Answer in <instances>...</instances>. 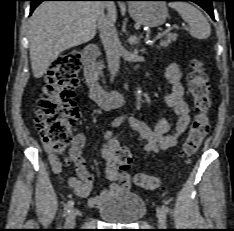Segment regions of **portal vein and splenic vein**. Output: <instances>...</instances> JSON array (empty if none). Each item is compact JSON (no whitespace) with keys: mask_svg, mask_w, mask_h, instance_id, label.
Segmentation results:
<instances>
[{"mask_svg":"<svg viewBox=\"0 0 234 231\" xmlns=\"http://www.w3.org/2000/svg\"><path fill=\"white\" fill-rule=\"evenodd\" d=\"M173 28H176V26H173L172 28H170V30H172ZM170 30H166L162 33H159L157 36H155L152 40H149V42L151 44H153L155 41H157L158 39H160L162 36H164L165 34H167Z\"/></svg>","mask_w":234,"mask_h":231,"instance_id":"18ae733b","label":"portal vein and splenic vein"}]
</instances>
